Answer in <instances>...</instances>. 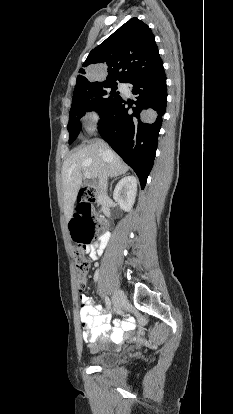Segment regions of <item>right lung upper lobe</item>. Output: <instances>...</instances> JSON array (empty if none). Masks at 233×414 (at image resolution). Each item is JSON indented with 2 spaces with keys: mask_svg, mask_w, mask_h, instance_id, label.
<instances>
[{
  "mask_svg": "<svg viewBox=\"0 0 233 414\" xmlns=\"http://www.w3.org/2000/svg\"><path fill=\"white\" fill-rule=\"evenodd\" d=\"M94 64L108 74L104 80L90 75ZM163 68L151 29L138 18H132L88 55L79 70L73 95L100 83L130 80L154 74Z\"/></svg>",
  "mask_w": 233,
  "mask_h": 414,
  "instance_id": "right-lung-upper-lobe-1",
  "label": "right lung upper lobe"
}]
</instances>
